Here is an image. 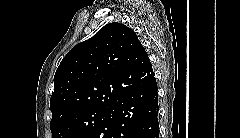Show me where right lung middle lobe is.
<instances>
[{"mask_svg":"<svg viewBox=\"0 0 240 138\" xmlns=\"http://www.w3.org/2000/svg\"><path fill=\"white\" fill-rule=\"evenodd\" d=\"M108 108H91L50 123L52 138H91Z\"/></svg>","mask_w":240,"mask_h":138,"instance_id":"1","label":"right lung middle lobe"}]
</instances>
